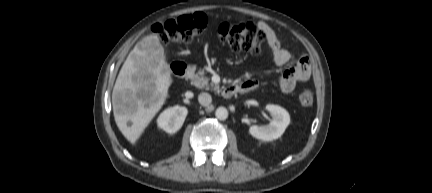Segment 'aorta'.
<instances>
[{
  "mask_svg": "<svg viewBox=\"0 0 432 193\" xmlns=\"http://www.w3.org/2000/svg\"><path fill=\"white\" fill-rule=\"evenodd\" d=\"M215 116L219 120H226L228 117V110L225 107H218L215 111Z\"/></svg>",
  "mask_w": 432,
  "mask_h": 193,
  "instance_id": "obj_1",
  "label": "aorta"
}]
</instances>
